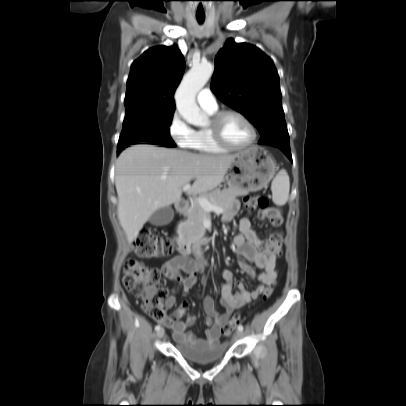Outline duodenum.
Wrapping results in <instances>:
<instances>
[{"label": "duodenum", "mask_w": 406, "mask_h": 406, "mask_svg": "<svg viewBox=\"0 0 406 406\" xmlns=\"http://www.w3.org/2000/svg\"><path fill=\"white\" fill-rule=\"evenodd\" d=\"M175 210L178 213H183L188 208V203L185 200H179L174 204ZM212 242L210 236L197 235L189 238H175V244L181 254L187 255L191 250L200 249L201 246Z\"/></svg>", "instance_id": "1"}]
</instances>
